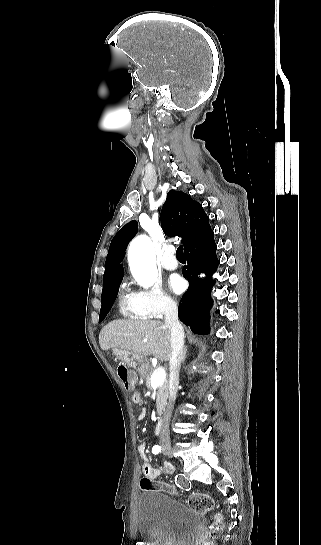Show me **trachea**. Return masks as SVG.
<instances>
[{"label": "trachea", "mask_w": 321, "mask_h": 545, "mask_svg": "<svg viewBox=\"0 0 321 545\" xmlns=\"http://www.w3.org/2000/svg\"><path fill=\"white\" fill-rule=\"evenodd\" d=\"M176 257H177V258L185 259L184 252H183V246H182V245H180V246L177 248Z\"/></svg>", "instance_id": "obj_1"}]
</instances>
